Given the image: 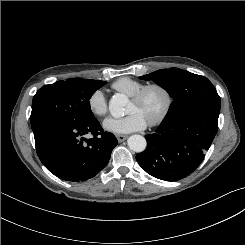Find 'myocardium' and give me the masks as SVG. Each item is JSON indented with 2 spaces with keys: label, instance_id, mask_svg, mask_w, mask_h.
I'll list each match as a JSON object with an SVG mask.
<instances>
[{
  "label": "myocardium",
  "instance_id": "myocardium-1",
  "mask_svg": "<svg viewBox=\"0 0 245 245\" xmlns=\"http://www.w3.org/2000/svg\"><path fill=\"white\" fill-rule=\"evenodd\" d=\"M152 91L160 92L164 97V106L161 112L154 118L147 121V124L150 127L157 126L161 124L169 115L171 108L173 106L174 98L171 91L164 85L159 83H151L142 87L138 92L131 96V101L134 103H142L148 94Z\"/></svg>",
  "mask_w": 245,
  "mask_h": 245
}]
</instances>
